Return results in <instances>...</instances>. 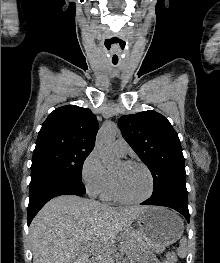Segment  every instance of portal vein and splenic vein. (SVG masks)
Instances as JSON below:
<instances>
[{
  "label": "portal vein and splenic vein",
  "mask_w": 220,
  "mask_h": 263,
  "mask_svg": "<svg viewBox=\"0 0 220 263\" xmlns=\"http://www.w3.org/2000/svg\"><path fill=\"white\" fill-rule=\"evenodd\" d=\"M88 250H89V252L91 253V252H95L94 250V248H89V246H88Z\"/></svg>",
  "instance_id": "1"
}]
</instances>
